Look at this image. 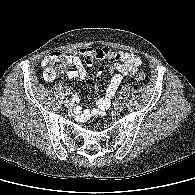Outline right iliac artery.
<instances>
[{
    "label": "right iliac artery",
    "instance_id": "1",
    "mask_svg": "<svg viewBox=\"0 0 195 195\" xmlns=\"http://www.w3.org/2000/svg\"><path fill=\"white\" fill-rule=\"evenodd\" d=\"M70 94H72V93H70V92H66V93H65V95H67V96H69Z\"/></svg>",
    "mask_w": 195,
    "mask_h": 195
}]
</instances>
